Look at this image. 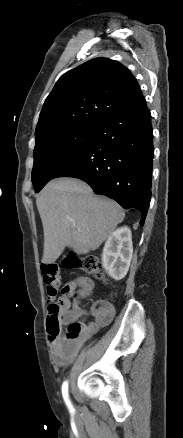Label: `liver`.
Returning <instances> with one entry per match:
<instances>
[{"label":"liver","instance_id":"liver-1","mask_svg":"<svg viewBox=\"0 0 183 438\" xmlns=\"http://www.w3.org/2000/svg\"><path fill=\"white\" fill-rule=\"evenodd\" d=\"M36 204L44 232V264L56 261L66 246L77 254L96 250L125 217L119 204L95 196L76 178L50 181Z\"/></svg>","mask_w":183,"mask_h":438}]
</instances>
